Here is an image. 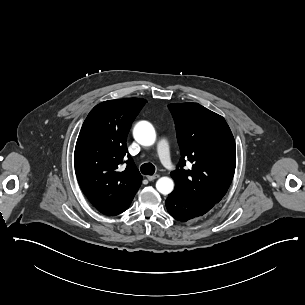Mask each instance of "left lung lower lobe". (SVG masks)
<instances>
[{
  "label": "left lung lower lobe",
  "mask_w": 305,
  "mask_h": 305,
  "mask_svg": "<svg viewBox=\"0 0 305 305\" xmlns=\"http://www.w3.org/2000/svg\"><path fill=\"white\" fill-rule=\"evenodd\" d=\"M214 205L188 200L174 191L168 195L166 200V208L170 215L182 222L204 215Z\"/></svg>",
  "instance_id": "0a47b994"
}]
</instances>
